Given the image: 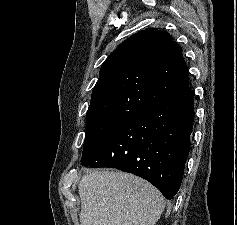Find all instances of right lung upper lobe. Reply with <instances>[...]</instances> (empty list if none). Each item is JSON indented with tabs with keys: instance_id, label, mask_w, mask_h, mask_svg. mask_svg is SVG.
Instances as JSON below:
<instances>
[{
	"instance_id": "cb5924a9",
	"label": "right lung upper lobe",
	"mask_w": 237,
	"mask_h": 225,
	"mask_svg": "<svg viewBox=\"0 0 237 225\" xmlns=\"http://www.w3.org/2000/svg\"><path fill=\"white\" fill-rule=\"evenodd\" d=\"M188 89L181 49L169 33L148 28L123 41L104 61L87 119H131Z\"/></svg>"
}]
</instances>
